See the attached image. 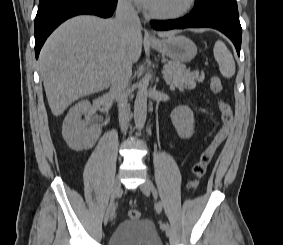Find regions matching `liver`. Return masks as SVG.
<instances>
[{
  "label": "liver",
  "mask_w": 283,
  "mask_h": 245,
  "mask_svg": "<svg viewBox=\"0 0 283 245\" xmlns=\"http://www.w3.org/2000/svg\"><path fill=\"white\" fill-rule=\"evenodd\" d=\"M170 37L174 32H158ZM141 26L123 38L115 19L81 15L60 25L45 42L39 72L53 115L60 116L80 97L107 89L117 63H132L142 52Z\"/></svg>",
  "instance_id": "liver-1"
}]
</instances>
